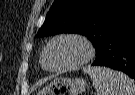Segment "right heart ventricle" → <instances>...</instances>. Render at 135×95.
Returning <instances> with one entry per match:
<instances>
[{"mask_svg":"<svg viewBox=\"0 0 135 95\" xmlns=\"http://www.w3.org/2000/svg\"><path fill=\"white\" fill-rule=\"evenodd\" d=\"M43 54H44V50H43V52H42V54H41V58H40V64H41L42 67H44V66H43Z\"/></svg>","mask_w":135,"mask_h":95,"instance_id":"e07e8e85","label":"right heart ventricle"}]
</instances>
